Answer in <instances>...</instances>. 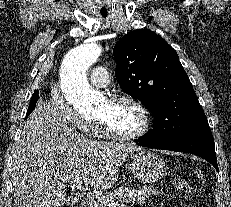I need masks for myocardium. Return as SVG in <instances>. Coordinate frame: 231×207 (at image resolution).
I'll list each match as a JSON object with an SVG mask.
<instances>
[{"instance_id": "myocardium-1", "label": "myocardium", "mask_w": 231, "mask_h": 207, "mask_svg": "<svg viewBox=\"0 0 231 207\" xmlns=\"http://www.w3.org/2000/svg\"><path fill=\"white\" fill-rule=\"evenodd\" d=\"M107 101L112 104L128 103L133 105L141 113L142 126L139 130L132 134H122L113 131L105 121L98 118V125L105 137L115 141L130 142L140 139L149 132L152 125L151 113L149 109L140 100L130 95H114L110 97Z\"/></svg>"}]
</instances>
